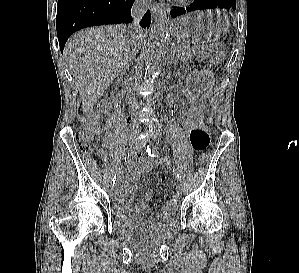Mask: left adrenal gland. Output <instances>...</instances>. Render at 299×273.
Returning a JSON list of instances; mask_svg holds the SVG:
<instances>
[{
  "mask_svg": "<svg viewBox=\"0 0 299 273\" xmlns=\"http://www.w3.org/2000/svg\"><path fill=\"white\" fill-rule=\"evenodd\" d=\"M175 64H176V60L174 59L173 50L171 48L170 54L168 56V64H167V66L170 67V66L175 65Z\"/></svg>",
  "mask_w": 299,
  "mask_h": 273,
  "instance_id": "left-adrenal-gland-1",
  "label": "left adrenal gland"
}]
</instances>
